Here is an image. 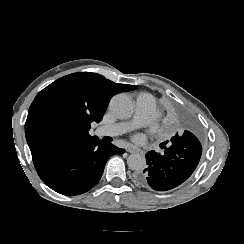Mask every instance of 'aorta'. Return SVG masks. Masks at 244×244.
<instances>
[{
  "label": "aorta",
  "instance_id": "obj_1",
  "mask_svg": "<svg viewBox=\"0 0 244 244\" xmlns=\"http://www.w3.org/2000/svg\"><path fill=\"white\" fill-rule=\"evenodd\" d=\"M109 109L118 119H128L134 112L132 101L122 94L116 95L110 100ZM127 165L134 171H142L147 166L145 157L137 153L128 156Z\"/></svg>",
  "mask_w": 244,
  "mask_h": 244
}]
</instances>
